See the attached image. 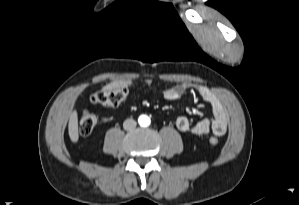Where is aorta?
Masks as SVG:
<instances>
[{"mask_svg": "<svg viewBox=\"0 0 299 205\" xmlns=\"http://www.w3.org/2000/svg\"><path fill=\"white\" fill-rule=\"evenodd\" d=\"M138 121L141 126H148L150 124V118L146 115H141Z\"/></svg>", "mask_w": 299, "mask_h": 205, "instance_id": "obj_1", "label": "aorta"}]
</instances>
